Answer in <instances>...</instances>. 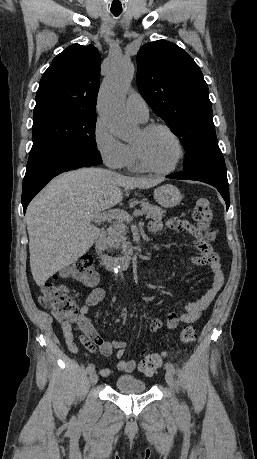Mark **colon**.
<instances>
[{
  "label": "colon",
  "mask_w": 257,
  "mask_h": 459,
  "mask_svg": "<svg viewBox=\"0 0 257 459\" xmlns=\"http://www.w3.org/2000/svg\"><path fill=\"white\" fill-rule=\"evenodd\" d=\"M193 218L205 237L213 240L215 231L210 226L212 210L207 198H200L196 201ZM63 274L85 285H94L98 281L93 262L88 257L79 258L74 264L67 267ZM38 301L43 307L51 309L54 316L60 320H73L77 315L78 306L69 295L67 286L63 284L45 283L41 285ZM196 337L195 327L187 325L181 331L179 339L182 344H190L195 341ZM162 362L161 354L151 353L140 362L139 368L143 374L150 376L161 367Z\"/></svg>",
  "instance_id": "5ec220e1"
}]
</instances>
